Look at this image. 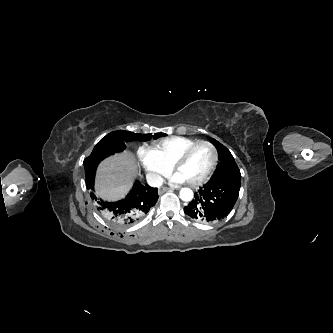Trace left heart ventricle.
<instances>
[{
  "instance_id": "obj_1",
  "label": "left heart ventricle",
  "mask_w": 333,
  "mask_h": 333,
  "mask_svg": "<svg viewBox=\"0 0 333 333\" xmlns=\"http://www.w3.org/2000/svg\"><path fill=\"white\" fill-rule=\"evenodd\" d=\"M213 158L212 149L206 145H200L190 153L186 162L177 169V173L187 182L199 179L209 170Z\"/></svg>"
}]
</instances>
